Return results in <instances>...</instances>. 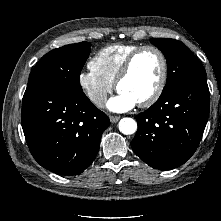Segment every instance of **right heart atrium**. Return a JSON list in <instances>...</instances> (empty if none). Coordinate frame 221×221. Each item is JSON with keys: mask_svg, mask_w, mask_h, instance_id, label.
<instances>
[{"mask_svg": "<svg viewBox=\"0 0 221 221\" xmlns=\"http://www.w3.org/2000/svg\"><path fill=\"white\" fill-rule=\"evenodd\" d=\"M78 83L86 97L96 106L101 107L114 84L96 73L91 67L80 72Z\"/></svg>", "mask_w": 221, "mask_h": 221, "instance_id": "1", "label": "right heart atrium"}]
</instances>
